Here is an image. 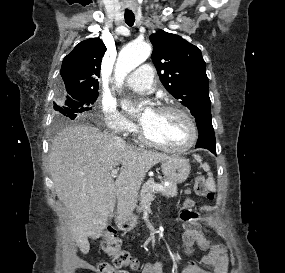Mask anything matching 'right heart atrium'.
<instances>
[{
    "label": "right heart atrium",
    "instance_id": "obj_1",
    "mask_svg": "<svg viewBox=\"0 0 285 273\" xmlns=\"http://www.w3.org/2000/svg\"><path fill=\"white\" fill-rule=\"evenodd\" d=\"M101 115L104 126L119 135H130L135 132V126L119 113L110 102H102Z\"/></svg>",
    "mask_w": 285,
    "mask_h": 273
}]
</instances>
